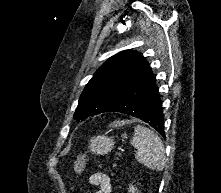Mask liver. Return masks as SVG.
I'll list each match as a JSON object with an SVG mask.
<instances>
[{"mask_svg": "<svg viewBox=\"0 0 221 193\" xmlns=\"http://www.w3.org/2000/svg\"><path fill=\"white\" fill-rule=\"evenodd\" d=\"M125 122H123V121H117V122H114L113 124H112V126H121V125H123Z\"/></svg>", "mask_w": 221, "mask_h": 193, "instance_id": "6515ba94", "label": "liver"}]
</instances>
